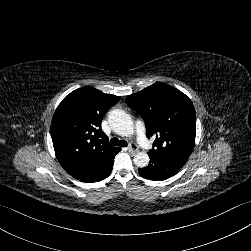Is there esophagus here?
<instances>
[{"label":"esophagus","mask_w":251,"mask_h":251,"mask_svg":"<svg viewBox=\"0 0 251 251\" xmlns=\"http://www.w3.org/2000/svg\"><path fill=\"white\" fill-rule=\"evenodd\" d=\"M127 150L130 152V153H136L138 152L139 148L138 146L135 144V143H131L129 144V146L127 147Z\"/></svg>","instance_id":"obj_1"}]
</instances>
